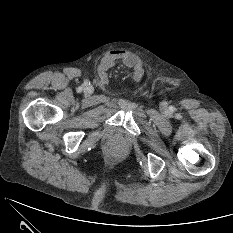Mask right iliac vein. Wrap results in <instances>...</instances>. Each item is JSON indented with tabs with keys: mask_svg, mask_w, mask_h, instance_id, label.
Listing matches in <instances>:
<instances>
[{
	"mask_svg": "<svg viewBox=\"0 0 233 233\" xmlns=\"http://www.w3.org/2000/svg\"><path fill=\"white\" fill-rule=\"evenodd\" d=\"M85 91H86V93H88V94H91V93H93V91H94V88L92 87V86H87L86 88H85Z\"/></svg>",
	"mask_w": 233,
	"mask_h": 233,
	"instance_id": "right-iliac-vein-1",
	"label": "right iliac vein"
}]
</instances>
